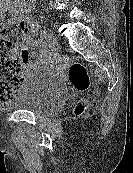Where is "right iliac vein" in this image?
I'll return each instance as SVG.
<instances>
[{
    "mask_svg": "<svg viewBox=\"0 0 133 173\" xmlns=\"http://www.w3.org/2000/svg\"><path fill=\"white\" fill-rule=\"evenodd\" d=\"M48 45H47V53L50 55L52 54L56 48H57V42H56V39L54 37V35L52 33H49L48 34Z\"/></svg>",
    "mask_w": 133,
    "mask_h": 173,
    "instance_id": "1",
    "label": "right iliac vein"
}]
</instances>
